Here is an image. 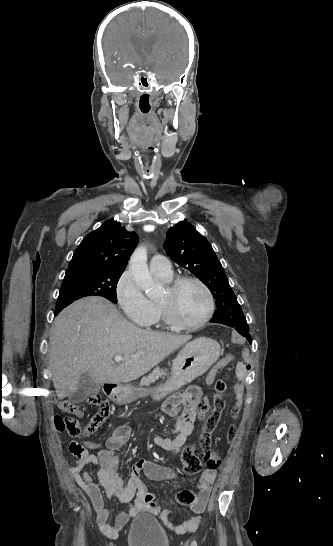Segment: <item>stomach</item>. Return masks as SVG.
Wrapping results in <instances>:
<instances>
[{"instance_id":"1","label":"stomach","mask_w":333,"mask_h":546,"mask_svg":"<svg viewBox=\"0 0 333 546\" xmlns=\"http://www.w3.org/2000/svg\"><path fill=\"white\" fill-rule=\"evenodd\" d=\"M220 353L217 341L208 337H198L187 343L173 360L170 378L164 384L154 390L144 389L138 393H134L130 386L118 387L111 397L117 403H129L150 393H155L157 399H162L208 371Z\"/></svg>"}]
</instances>
